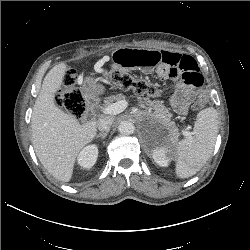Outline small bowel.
Segmentation results:
<instances>
[{"instance_id":"small-bowel-1","label":"small bowel","mask_w":250,"mask_h":250,"mask_svg":"<svg viewBox=\"0 0 250 250\" xmlns=\"http://www.w3.org/2000/svg\"><path fill=\"white\" fill-rule=\"evenodd\" d=\"M112 61L117 68L139 70L145 74L155 72L163 80H173L177 91L171 105L179 114L188 112L196 91L203 84L196 61L177 52L121 48L114 51Z\"/></svg>"}]
</instances>
